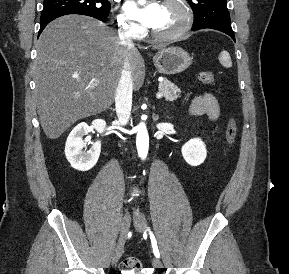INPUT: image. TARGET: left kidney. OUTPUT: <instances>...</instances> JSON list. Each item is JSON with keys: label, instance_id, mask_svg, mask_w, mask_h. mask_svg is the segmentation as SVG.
<instances>
[{"label": "left kidney", "instance_id": "5707ae66", "mask_svg": "<svg viewBox=\"0 0 289 274\" xmlns=\"http://www.w3.org/2000/svg\"><path fill=\"white\" fill-rule=\"evenodd\" d=\"M184 160L191 166L202 164L207 156L206 145L200 138H193L182 146Z\"/></svg>", "mask_w": 289, "mask_h": 274}]
</instances>
